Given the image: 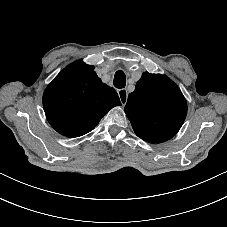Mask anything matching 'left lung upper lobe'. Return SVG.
<instances>
[{"mask_svg":"<svg viewBox=\"0 0 227 227\" xmlns=\"http://www.w3.org/2000/svg\"><path fill=\"white\" fill-rule=\"evenodd\" d=\"M124 111L134 132L149 143L172 138L181 128L187 102L178 86L162 74L143 73Z\"/></svg>","mask_w":227,"mask_h":227,"instance_id":"5c2ea615","label":"left lung upper lobe"}]
</instances>
